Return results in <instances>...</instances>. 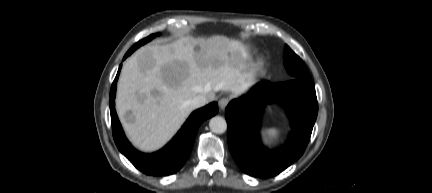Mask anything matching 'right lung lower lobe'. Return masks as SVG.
<instances>
[{
    "instance_id": "obj_1",
    "label": "right lung lower lobe",
    "mask_w": 432,
    "mask_h": 193,
    "mask_svg": "<svg viewBox=\"0 0 432 193\" xmlns=\"http://www.w3.org/2000/svg\"><path fill=\"white\" fill-rule=\"evenodd\" d=\"M129 55L130 53L127 52L124 59ZM120 69L121 65L111 86L109 102L113 138L118 149L137 169L145 174L166 176L176 173L188 159L194 144L196 133L201 123L217 113V103L213 102L194 111L176 136L160 151L152 154L139 152L125 137L115 110L114 100Z\"/></svg>"
}]
</instances>
